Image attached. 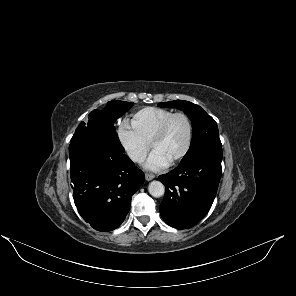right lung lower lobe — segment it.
Instances as JSON below:
<instances>
[{
    "instance_id": "98d812e1",
    "label": "right lung lower lobe",
    "mask_w": 296,
    "mask_h": 296,
    "mask_svg": "<svg viewBox=\"0 0 296 296\" xmlns=\"http://www.w3.org/2000/svg\"><path fill=\"white\" fill-rule=\"evenodd\" d=\"M123 153L116 132L95 125H79L70 141L75 205L82 218L101 232L121 225L132 195L145 179Z\"/></svg>"
}]
</instances>
